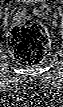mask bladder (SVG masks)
Instances as JSON below:
<instances>
[{"label":"bladder","instance_id":"obj_1","mask_svg":"<svg viewBox=\"0 0 63 107\" xmlns=\"http://www.w3.org/2000/svg\"><path fill=\"white\" fill-rule=\"evenodd\" d=\"M17 1H21V2H36L35 0H17Z\"/></svg>","mask_w":63,"mask_h":107}]
</instances>
